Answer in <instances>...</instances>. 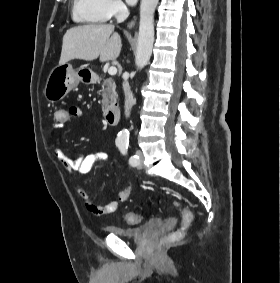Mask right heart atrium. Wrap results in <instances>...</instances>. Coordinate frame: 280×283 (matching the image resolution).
<instances>
[{"label": "right heart atrium", "mask_w": 280, "mask_h": 283, "mask_svg": "<svg viewBox=\"0 0 280 283\" xmlns=\"http://www.w3.org/2000/svg\"><path fill=\"white\" fill-rule=\"evenodd\" d=\"M125 5L121 0H103V10L108 18H118L125 13Z\"/></svg>", "instance_id": "d8ad5b80"}]
</instances>
